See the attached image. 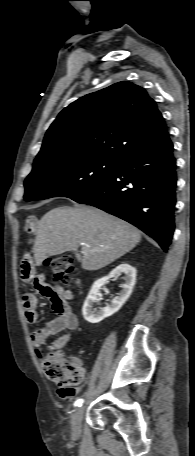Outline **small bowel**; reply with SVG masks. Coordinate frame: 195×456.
<instances>
[{
	"mask_svg": "<svg viewBox=\"0 0 195 456\" xmlns=\"http://www.w3.org/2000/svg\"><path fill=\"white\" fill-rule=\"evenodd\" d=\"M35 227L36 218L33 216L27 217L23 225L25 234L31 236ZM21 278L25 283H32L42 296L48 298L57 314L55 319L38 327L30 335L33 345L37 347L38 355L42 354V350L39 348L42 344L54 335L68 331V333L56 338L52 343V348L55 350L63 348L71 340L72 335L70 332L76 330L79 326L78 318L69 305V301L74 297L73 293L61 286H51L46 282L44 274L35 273L29 255H26L22 261ZM21 302L25 320L29 324H34L37 320V297L33 293H26L22 296ZM76 360L79 361L78 359ZM79 392L80 388L78 387L67 388L59 386L57 389L58 396L66 401L73 399Z\"/></svg>",
	"mask_w": 195,
	"mask_h": 456,
	"instance_id": "small-bowel-1",
	"label": "small bowel"
}]
</instances>
